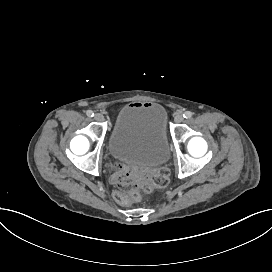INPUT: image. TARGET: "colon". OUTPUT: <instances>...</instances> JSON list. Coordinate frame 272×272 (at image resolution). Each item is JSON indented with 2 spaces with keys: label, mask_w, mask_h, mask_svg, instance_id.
Returning <instances> with one entry per match:
<instances>
[{
  "label": "colon",
  "mask_w": 272,
  "mask_h": 272,
  "mask_svg": "<svg viewBox=\"0 0 272 272\" xmlns=\"http://www.w3.org/2000/svg\"><path fill=\"white\" fill-rule=\"evenodd\" d=\"M111 175L116 185L115 200L120 205H127L134 199V194L143 196L152 192L153 186H165L169 180V171L156 169L152 172L151 178L143 179L138 174L129 173L123 163H116L111 168Z\"/></svg>",
  "instance_id": "colon-1"
}]
</instances>
